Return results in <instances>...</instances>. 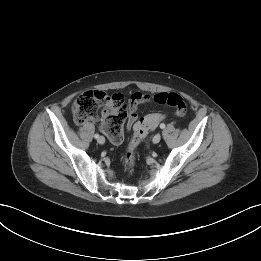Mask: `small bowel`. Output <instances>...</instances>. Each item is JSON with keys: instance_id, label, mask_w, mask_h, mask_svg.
<instances>
[{"instance_id": "small-bowel-1", "label": "small bowel", "mask_w": 261, "mask_h": 261, "mask_svg": "<svg viewBox=\"0 0 261 261\" xmlns=\"http://www.w3.org/2000/svg\"><path fill=\"white\" fill-rule=\"evenodd\" d=\"M116 95L123 101V96L121 94H116ZM155 96L149 93H141V92H135L131 95L129 100L128 115H127V122H126L127 130H131L135 125V123L137 122L139 105L151 101H155ZM106 114L107 113H105L103 116H106Z\"/></svg>"}]
</instances>
